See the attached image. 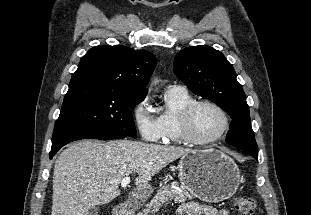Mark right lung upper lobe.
<instances>
[{
    "mask_svg": "<svg viewBox=\"0 0 311 215\" xmlns=\"http://www.w3.org/2000/svg\"><path fill=\"white\" fill-rule=\"evenodd\" d=\"M156 63L155 56L146 50L96 46L81 58L69 87L95 86L146 96L145 87Z\"/></svg>",
    "mask_w": 311,
    "mask_h": 215,
    "instance_id": "right-lung-upper-lobe-1",
    "label": "right lung upper lobe"
}]
</instances>
